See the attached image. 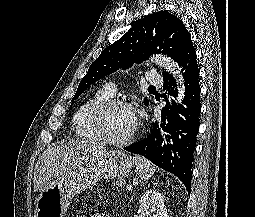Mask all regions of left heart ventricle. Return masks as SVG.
Segmentation results:
<instances>
[{
    "label": "left heart ventricle",
    "instance_id": "1",
    "mask_svg": "<svg viewBox=\"0 0 255 217\" xmlns=\"http://www.w3.org/2000/svg\"><path fill=\"white\" fill-rule=\"evenodd\" d=\"M137 120L133 110L118 107L109 112L106 118V128L109 135L116 139L128 136L135 128Z\"/></svg>",
    "mask_w": 255,
    "mask_h": 217
}]
</instances>
